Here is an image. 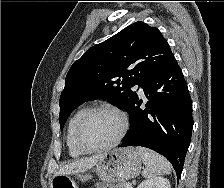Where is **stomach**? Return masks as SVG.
<instances>
[{
  "label": "stomach",
  "mask_w": 224,
  "mask_h": 188,
  "mask_svg": "<svg viewBox=\"0 0 224 188\" xmlns=\"http://www.w3.org/2000/svg\"><path fill=\"white\" fill-rule=\"evenodd\" d=\"M142 158L133 147L117 148L107 153L95 164L94 172L105 182L120 183L139 175ZM92 175L85 172L56 175L52 178L50 188H78L76 179L85 182Z\"/></svg>",
  "instance_id": "1"
}]
</instances>
